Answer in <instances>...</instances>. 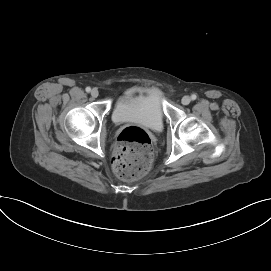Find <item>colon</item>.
<instances>
[{
	"label": "colon",
	"mask_w": 271,
	"mask_h": 271,
	"mask_svg": "<svg viewBox=\"0 0 271 271\" xmlns=\"http://www.w3.org/2000/svg\"><path fill=\"white\" fill-rule=\"evenodd\" d=\"M151 159V138L144 129L130 126L121 131L112 157V169L119 178L132 180L143 176Z\"/></svg>",
	"instance_id": "obj_1"
}]
</instances>
